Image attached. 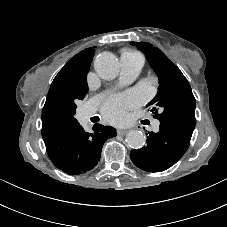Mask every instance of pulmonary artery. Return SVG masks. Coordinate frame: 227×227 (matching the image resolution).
Listing matches in <instances>:
<instances>
[{
  "instance_id": "1",
  "label": "pulmonary artery",
  "mask_w": 227,
  "mask_h": 227,
  "mask_svg": "<svg viewBox=\"0 0 227 227\" xmlns=\"http://www.w3.org/2000/svg\"><path fill=\"white\" fill-rule=\"evenodd\" d=\"M121 66H122V70H121L119 85H124V84L130 83L138 76V74L142 69L143 62L137 58L122 56ZM91 115H92V109L91 108L86 109L84 112V117L88 118ZM153 129L154 130L159 129V121H154Z\"/></svg>"
}]
</instances>
